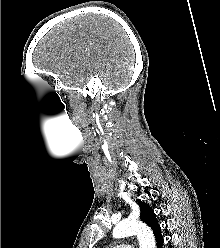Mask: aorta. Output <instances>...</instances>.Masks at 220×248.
I'll return each instance as SVG.
<instances>
[{
	"mask_svg": "<svg viewBox=\"0 0 220 248\" xmlns=\"http://www.w3.org/2000/svg\"><path fill=\"white\" fill-rule=\"evenodd\" d=\"M136 235L139 240L140 248H155V238L151 229L144 223L125 219L120 221L113 229V237L120 239Z\"/></svg>",
	"mask_w": 220,
	"mask_h": 248,
	"instance_id": "obj_1",
	"label": "aorta"
}]
</instances>
